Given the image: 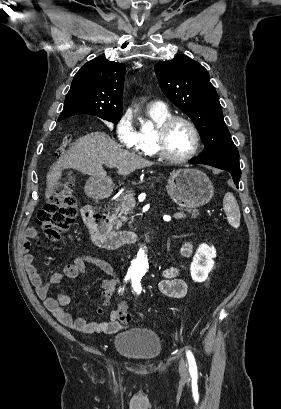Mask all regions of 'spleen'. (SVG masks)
I'll return each mask as SVG.
<instances>
[{
  "instance_id": "obj_1",
  "label": "spleen",
  "mask_w": 281,
  "mask_h": 409,
  "mask_svg": "<svg viewBox=\"0 0 281 409\" xmlns=\"http://www.w3.org/2000/svg\"><path fill=\"white\" fill-rule=\"evenodd\" d=\"M223 209L226 213L227 221L231 227H240V209L233 192H226L223 198Z\"/></svg>"
}]
</instances>
